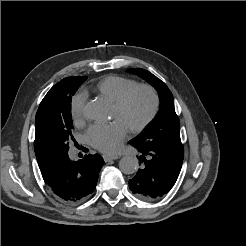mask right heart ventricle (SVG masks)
<instances>
[{
  "label": "right heart ventricle",
  "instance_id": "right-heart-ventricle-1",
  "mask_svg": "<svg viewBox=\"0 0 246 246\" xmlns=\"http://www.w3.org/2000/svg\"><path fill=\"white\" fill-rule=\"evenodd\" d=\"M136 85H138V83L133 79L118 75H109L102 78L96 84V90L100 95L115 102L125 92Z\"/></svg>",
  "mask_w": 246,
  "mask_h": 246
}]
</instances>
